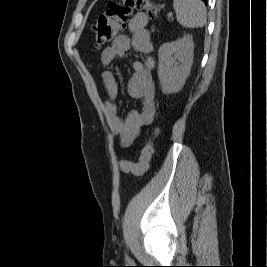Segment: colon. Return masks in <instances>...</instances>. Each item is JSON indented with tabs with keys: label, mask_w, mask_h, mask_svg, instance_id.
Instances as JSON below:
<instances>
[{
	"label": "colon",
	"mask_w": 267,
	"mask_h": 267,
	"mask_svg": "<svg viewBox=\"0 0 267 267\" xmlns=\"http://www.w3.org/2000/svg\"><path fill=\"white\" fill-rule=\"evenodd\" d=\"M134 9L144 10L151 18H156L160 7L150 0H111L108 3L106 12L100 15L93 25L97 46H103L111 42L124 28ZM157 133L158 129L155 128L152 136L141 149L137 162L119 161L120 169L123 172L139 176L147 171L153 153V137Z\"/></svg>",
	"instance_id": "obj_1"
}]
</instances>
